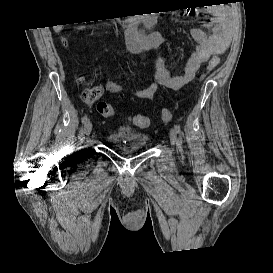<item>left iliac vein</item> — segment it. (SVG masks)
Masks as SVG:
<instances>
[{"mask_svg":"<svg viewBox=\"0 0 273 273\" xmlns=\"http://www.w3.org/2000/svg\"><path fill=\"white\" fill-rule=\"evenodd\" d=\"M170 141L172 145H175L177 142V132L174 128L170 130Z\"/></svg>","mask_w":273,"mask_h":273,"instance_id":"1","label":"left iliac vein"}]
</instances>
